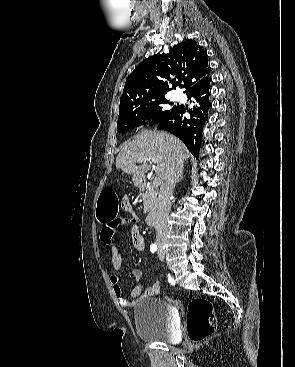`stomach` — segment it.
I'll use <instances>...</instances> for the list:
<instances>
[{
  "mask_svg": "<svg viewBox=\"0 0 295 367\" xmlns=\"http://www.w3.org/2000/svg\"><path fill=\"white\" fill-rule=\"evenodd\" d=\"M132 181H133V183H134V185H135L136 187H141V186H142V178H141V177L134 176V177L132 178Z\"/></svg>",
  "mask_w": 295,
  "mask_h": 367,
  "instance_id": "1",
  "label": "stomach"
}]
</instances>
